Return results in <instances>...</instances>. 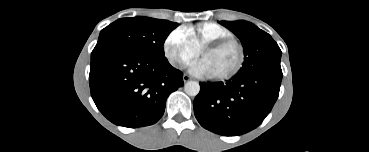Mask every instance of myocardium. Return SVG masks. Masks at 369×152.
<instances>
[{
    "label": "myocardium",
    "mask_w": 369,
    "mask_h": 152,
    "mask_svg": "<svg viewBox=\"0 0 369 152\" xmlns=\"http://www.w3.org/2000/svg\"><path fill=\"white\" fill-rule=\"evenodd\" d=\"M228 44H234L237 47L238 54H239L238 61L235 67L231 71L225 74H222V75L210 76V78L213 80H216V81L229 80L235 77L241 71L244 65V62H245V49H244L243 44L236 38L226 37V38H221V39L208 42L198 52V54L201 56L202 53H204L205 51L217 50Z\"/></svg>",
    "instance_id": "1"
}]
</instances>
